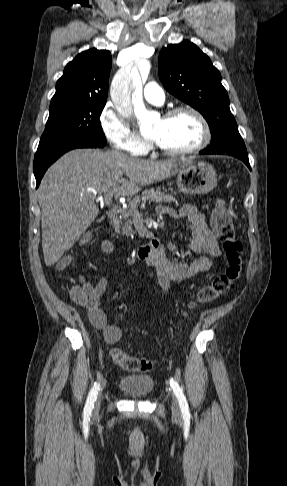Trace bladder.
<instances>
[{
	"label": "bladder",
	"mask_w": 287,
	"mask_h": 486,
	"mask_svg": "<svg viewBox=\"0 0 287 486\" xmlns=\"http://www.w3.org/2000/svg\"><path fill=\"white\" fill-rule=\"evenodd\" d=\"M153 388V378L148 375H125L119 380V389L133 398L147 397Z\"/></svg>",
	"instance_id": "31cf9c89"
}]
</instances>
